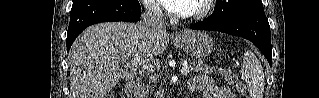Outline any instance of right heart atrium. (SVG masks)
Segmentation results:
<instances>
[{
    "instance_id": "1",
    "label": "right heart atrium",
    "mask_w": 319,
    "mask_h": 98,
    "mask_svg": "<svg viewBox=\"0 0 319 98\" xmlns=\"http://www.w3.org/2000/svg\"><path fill=\"white\" fill-rule=\"evenodd\" d=\"M148 12L154 16H160L162 14V9L157 4H152L148 7Z\"/></svg>"
}]
</instances>
